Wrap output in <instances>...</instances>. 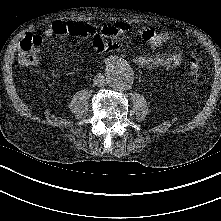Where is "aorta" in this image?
<instances>
[{
    "instance_id": "obj_1",
    "label": "aorta",
    "mask_w": 221,
    "mask_h": 221,
    "mask_svg": "<svg viewBox=\"0 0 221 221\" xmlns=\"http://www.w3.org/2000/svg\"><path fill=\"white\" fill-rule=\"evenodd\" d=\"M108 85L116 91L126 90L134 81V72L125 60H115L109 63L105 70Z\"/></svg>"
}]
</instances>
